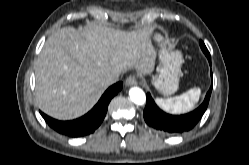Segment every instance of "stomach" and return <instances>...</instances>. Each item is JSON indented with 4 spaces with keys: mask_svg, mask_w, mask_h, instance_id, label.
Masks as SVG:
<instances>
[{
    "mask_svg": "<svg viewBox=\"0 0 249 165\" xmlns=\"http://www.w3.org/2000/svg\"><path fill=\"white\" fill-rule=\"evenodd\" d=\"M154 40L159 46L160 65L158 74L153 78V85L163 95L168 96L178 89L183 56L180 51L169 49L160 34H155Z\"/></svg>",
    "mask_w": 249,
    "mask_h": 165,
    "instance_id": "obj_1",
    "label": "stomach"
}]
</instances>
